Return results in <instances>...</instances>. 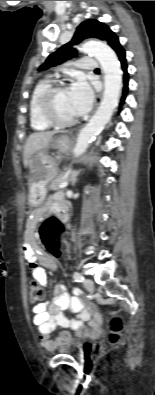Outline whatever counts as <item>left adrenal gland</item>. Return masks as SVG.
Masks as SVG:
<instances>
[{
  "label": "left adrenal gland",
  "instance_id": "obj_1",
  "mask_svg": "<svg viewBox=\"0 0 155 395\" xmlns=\"http://www.w3.org/2000/svg\"><path fill=\"white\" fill-rule=\"evenodd\" d=\"M79 173H80V170H79V171L73 170V171L71 172V182H72V185L75 184V182H76V177L78 176Z\"/></svg>",
  "mask_w": 155,
  "mask_h": 395
}]
</instances>
